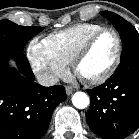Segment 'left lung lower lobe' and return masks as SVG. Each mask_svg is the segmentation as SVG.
<instances>
[{
    "label": "left lung lower lobe",
    "instance_id": "1",
    "mask_svg": "<svg viewBox=\"0 0 139 139\" xmlns=\"http://www.w3.org/2000/svg\"><path fill=\"white\" fill-rule=\"evenodd\" d=\"M91 105L86 119L103 139H124L139 128V49L122 56L114 74L87 90Z\"/></svg>",
    "mask_w": 139,
    "mask_h": 139
}]
</instances>
